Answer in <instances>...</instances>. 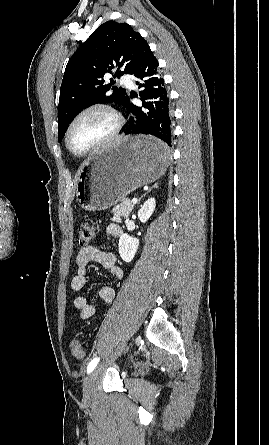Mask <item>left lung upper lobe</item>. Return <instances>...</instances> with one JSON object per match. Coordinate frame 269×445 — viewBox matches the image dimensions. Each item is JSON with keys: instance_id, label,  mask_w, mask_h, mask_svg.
Listing matches in <instances>:
<instances>
[{"instance_id": "obj_1", "label": "left lung upper lobe", "mask_w": 269, "mask_h": 445, "mask_svg": "<svg viewBox=\"0 0 269 445\" xmlns=\"http://www.w3.org/2000/svg\"><path fill=\"white\" fill-rule=\"evenodd\" d=\"M147 48L148 43L127 23L107 21L90 35L65 69L58 107L59 142L69 123L86 107L97 103L124 105L126 90L114 86V79L106 83L103 77L112 70H116L114 78L131 74Z\"/></svg>"}]
</instances>
